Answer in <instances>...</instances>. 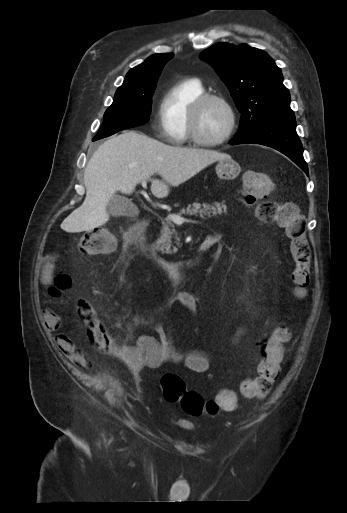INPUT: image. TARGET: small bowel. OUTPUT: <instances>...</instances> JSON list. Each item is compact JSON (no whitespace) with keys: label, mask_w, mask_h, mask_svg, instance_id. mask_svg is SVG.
Masks as SVG:
<instances>
[{"label":"small bowel","mask_w":347,"mask_h":513,"mask_svg":"<svg viewBox=\"0 0 347 513\" xmlns=\"http://www.w3.org/2000/svg\"><path fill=\"white\" fill-rule=\"evenodd\" d=\"M52 270L53 262L51 261L45 265L42 272L45 285L51 284ZM171 304H179L186 310L188 315H193L197 307L194 295L188 291L179 292L174 295L171 299ZM45 321L48 326L55 328L58 324V317L54 312L49 311L45 316ZM153 329L157 333V338L141 335L134 345L118 346L112 351L114 358L127 367L135 376H139L145 368H158L168 362L182 364L196 373H205L209 370L210 361L205 352L199 350L179 351L174 346L172 328L166 330L161 325L155 324ZM243 335L244 329L238 330L232 337V341L234 343L238 342ZM56 345L66 356L74 357L82 363L85 362L84 357L78 352L74 342L66 335H58L56 337Z\"/></svg>","instance_id":"1"}]
</instances>
